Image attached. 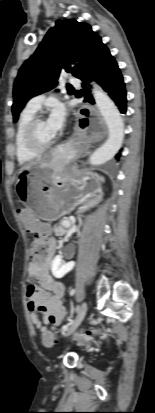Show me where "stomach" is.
I'll return each instance as SVG.
<instances>
[{
  "label": "stomach",
  "instance_id": "stomach-1",
  "mask_svg": "<svg viewBox=\"0 0 155 413\" xmlns=\"http://www.w3.org/2000/svg\"><path fill=\"white\" fill-rule=\"evenodd\" d=\"M100 192L96 174L65 169L54 157L25 165L16 180L19 200L46 221L57 220Z\"/></svg>",
  "mask_w": 155,
  "mask_h": 413
}]
</instances>
